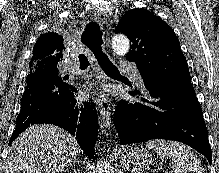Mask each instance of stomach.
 <instances>
[{
    "mask_svg": "<svg viewBox=\"0 0 219 173\" xmlns=\"http://www.w3.org/2000/svg\"><path fill=\"white\" fill-rule=\"evenodd\" d=\"M119 162L131 173H147L152 164V156L144 148L128 147L119 152Z\"/></svg>",
    "mask_w": 219,
    "mask_h": 173,
    "instance_id": "stomach-1",
    "label": "stomach"
}]
</instances>
